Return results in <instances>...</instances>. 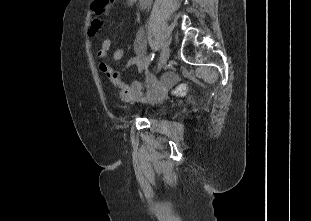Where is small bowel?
I'll list each match as a JSON object with an SVG mask.
<instances>
[{
    "label": "small bowel",
    "instance_id": "c3829d8e",
    "mask_svg": "<svg viewBox=\"0 0 311 221\" xmlns=\"http://www.w3.org/2000/svg\"><path fill=\"white\" fill-rule=\"evenodd\" d=\"M133 2V0H130ZM99 46H112V41L108 38L104 39ZM134 49L136 52V56L130 58L125 67L123 68L122 72H125L129 68L132 67H139L143 60H144V52H145V38L144 33L140 30L137 33V36L134 41ZM109 53H97L98 57V67L100 71L111 81H113L119 91L122 99L125 102H133L142 97V91L145 88H148V95L155 96L158 91L164 86V82L159 81L153 84H147L141 81H133L130 83L124 82L120 79L121 71L114 69L111 67L106 59ZM124 56V47H119L116 49L112 55V60L114 62L120 61Z\"/></svg>",
    "mask_w": 311,
    "mask_h": 221
}]
</instances>
